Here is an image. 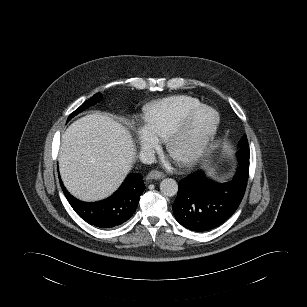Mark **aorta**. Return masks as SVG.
<instances>
[{
    "label": "aorta",
    "instance_id": "aorta-1",
    "mask_svg": "<svg viewBox=\"0 0 307 307\" xmlns=\"http://www.w3.org/2000/svg\"><path fill=\"white\" fill-rule=\"evenodd\" d=\"M160 190L163 195L172 197L178 192V184L174 179L166 178L161 181Z\"/></svg>",
    "mask_w": 307,
    "mask_h": 307
}]
</instances>
